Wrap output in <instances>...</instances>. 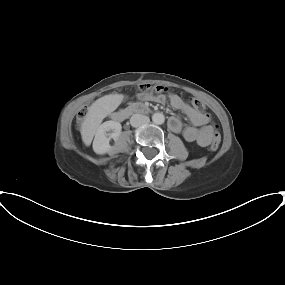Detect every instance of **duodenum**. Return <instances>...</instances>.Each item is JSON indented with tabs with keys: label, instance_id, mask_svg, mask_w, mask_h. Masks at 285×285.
<instances>
[{
	"label": "duodenum",
	"instance_id": "1",
	"mask_svg": "<svg viewBox=\"0 0 285 285\" xmlns=\"http://www.w3.org/2000/svg\"><path fill=\"white\" fill-rule=\"evenodd\" d=\"M147 111V108L142 105H134L129 107L127 110L116 113L114 115V119L117 121H123L125 120L128 116L135 114V113H145Z\"/></svg>",
	"mask_w": 285,
	"mask_h": 285
}]
</instances>
